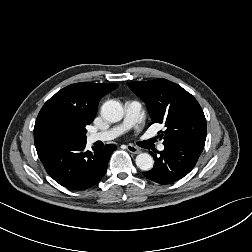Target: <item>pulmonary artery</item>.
<instances>
[{"label":"pulmonary artery","mask_w":252,"mask_h":252,"mask_svg":"<svg viewBox=\"0 0 252 252\" xmlns=\"http://www.w3.org/2000/svg\"><path fill=\"white\" fill-rule=\"evenodd\" d=\"M141 111L142 106L138 101H126L124 103V118L122 122L106 131L90 133L87 136V141L89 143L109 141L122 135L128 129L137 124L141 117ZM164 148V144H160L158 146L160 151L164 150Z\"/></svg>","instance_id":"e3ab8cb5"}]
</instances>
